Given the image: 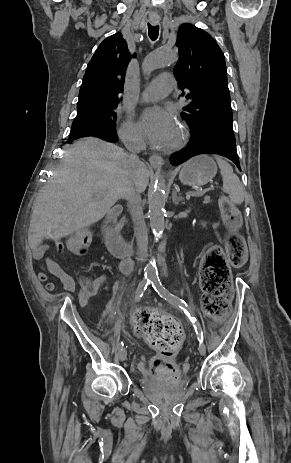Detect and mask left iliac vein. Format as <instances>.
<instances>
[{
	"label": "left iliac vein",
	"instance_id": "obj_1",
	"mask_svg": "<svg viewBox=\"0 0 291 463\" xmlns=\"http://www.w3.org/2000/svg\"><path fill=\"white\" fill-rule=\"evenodd\" d=\"M198 350H199L200 355H202V356L205 355V353H206V346H205V344H204L203 342H201V343L199 344Z\"/></svg>",
	"mask_w": 291,
	"mask_h": 463
}]
</instances>
